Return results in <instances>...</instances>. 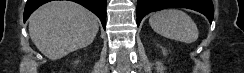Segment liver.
<instances>
[{
  "label": "liver",
  "mask_w": 244,
  "mask_h": 73,
  "mask_svg": "<svg viewBox=\"0 0 244 73\" xmlns=\"http://www.w3.org/2000/svg\"><path fill=\"white\" fill-rule=\"evenodd\" d=\"M98 18L72 1H51L29 18V34L39 51L51 60L90 45L98 32Z\"/></svg>",
  "instance_id": "liver-1"
}]
</instances>
